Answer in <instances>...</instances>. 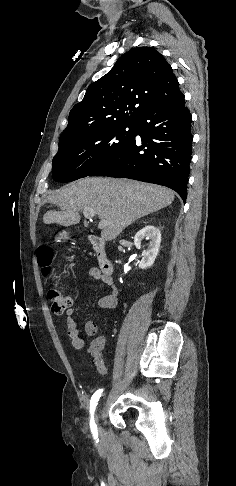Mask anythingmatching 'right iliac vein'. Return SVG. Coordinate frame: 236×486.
<instances>
[{
	"label": "right iliac vein",
	"instance_id": "obj_1",
	"mask_svg": "<svg viewBox=\"0 0 236 486\" xmlns=\"http://www.w3.org/2000/svg\"><path fill=\"white\" fill-rule=\"evenodd\" d=\"M100 414H101V411L100 409L97 410V413H96V421L98 422L99 419H100Z\"/></svg>",
	"mask_w": 236,
	"mask_h": 486
}]
</instances>
